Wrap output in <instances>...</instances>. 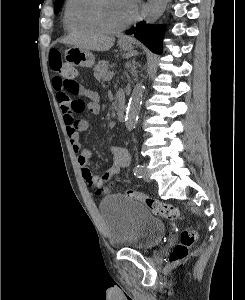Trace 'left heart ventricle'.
<instances>
[{
    "instance_id": "obj_1",
    "label": "left heart ventricle",
    "mask_w": 245,
    "mask_h": 300,
    "mask_svg": "<svg viewBox=\"0 0 245 300\" xmlns=\"http://www.w3.org/2000/svg\"><path fill=\"white\" fill-rule=\"evenodd\" d=\"M99 15L106 26L118 27L128 21L133 13L126 0H102Z\"/></svg>"
}]
</instances>
